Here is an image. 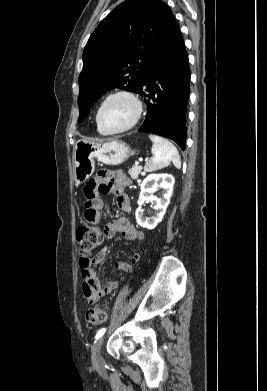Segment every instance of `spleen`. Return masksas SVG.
<instances>
[{"instance_id": "3e777b00", "label": "spleen", "mask_w": 267, "mask_h": 391, "mask_svg": "<svg viewBox=\"0 0 267 391\" xmlns=\"http://www.w3.org/2000/svg\"><path fill=\"white\" fill-rule=\"evenodd\" d=\"M149 139L153 142L151 149L152 157L146 161L144 170L154 172L167 167L172 162L176 168H181V159L176 147L165 138L150 134Z\"/></svg>"}]
</instances>
